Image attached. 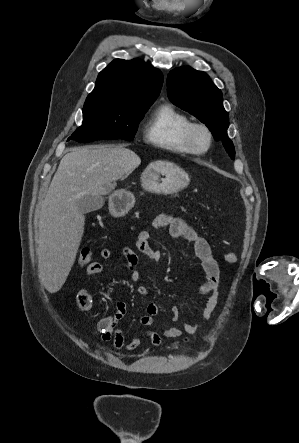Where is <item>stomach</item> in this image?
Instances as JSON below:
<instances>
[{
    "label": "stomach",
    "instance_id": "0dacf381",
    "mask_svg": "<svg viewBox=\"0 0 299 443\" xmlns=\"http://www.w3.org/2000/svg\"><path fill=\"white\" fill-rule=\"evenodd\" d=\"M188 174L172 163L156 162L148 165L141 175V185L156 194H173L189 183ZM134 196L125 190H117L109 196V210L113 216L125 215L134 205Z\"/></svg>",
    "mask_w": 299,
    "mask_h": 443
}]
</instances>
